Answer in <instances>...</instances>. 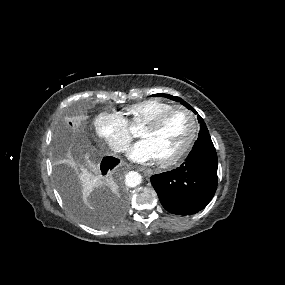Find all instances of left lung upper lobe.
I'll return each mask as SVG.
<instances>
[{
  "mask_svg": "<svg viewBox=\"0 0 285 285\" xmlns=\"http://www.w3.org/2000/svg\"><path fill=\"white\" fill-rule=\"evenodd\" d=\"M153 96H164V97L169 98L171 100L180 102L182 105H184L188 109H192V107L187 102H185L183 99H181L179 97H174V96L169 95V94H154ZM192 111L195 114H197V112L194 109H192ZM198 120L200 122V127H201L198 138H201L203 136L209 135V131H208L207 127H206V124L204 123L203 119L199 115H198Z\"/></svg>",
  "mask_w": 285,
  "mask_h": 285,
  "instance_id": "5c2ea615",
  "label": "left lung upper lobe"
}]
</instances>
